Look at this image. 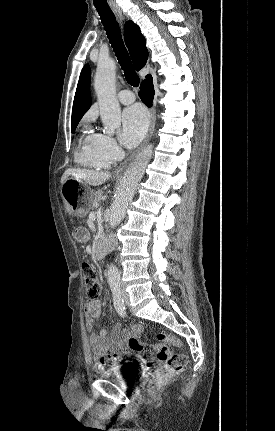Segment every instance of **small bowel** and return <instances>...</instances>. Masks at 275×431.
Wrapping results in <instances>:
<instances>
[{
    "label": "small bowel",
    "instance_id": "small-bowel-1",
    "mask_svg": "<svg viewBox=\"0 0 275 431\" xmlns=\"http://www.w3.org/2000/svg\"><path fill=\"white\" fill-rule=\"evenodd\" d=\"M75 237L79 242L88 241V233L84 229H78ZM102 314V303L99 300H91L85 307L86 328L90 332V346L96 358L107 353H113V361L118 360L122 354H127L126 341L127 332H123L119 325H116L110 332L94 330V321ZM132 330L135 334L140 335L143 328L140 325H133Z\"/></svg>",
    "mask_w": 275,
    "mask_h": 431
}]
</instances>
